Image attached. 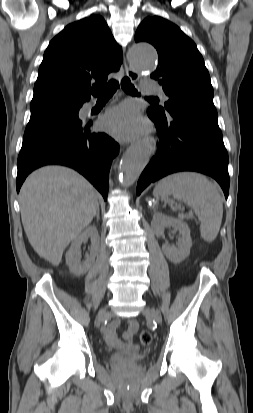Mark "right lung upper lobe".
<instances>
[{"mask_svg": "<svg viewBox=\"0 0 253 413\" xmlns=\"http://www.w3.org/2000/svg\"><path fill=\"white\" fill-rule=\"evenodd\" d=\"M121 48L101 16L66 26L47 47L39 67L31 114L80 108L90 100L89 87H102L119 70Z\"/></svg>", "mask_w": 253, "mask_h": 413, "instance_id": "obj_1", "label": "right lung upper lobe"}]
</instances>
